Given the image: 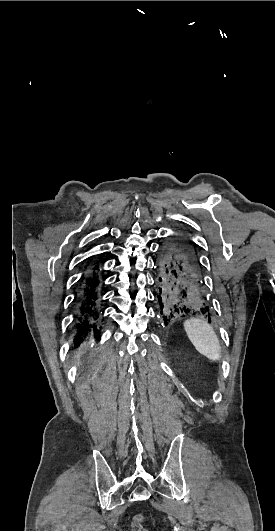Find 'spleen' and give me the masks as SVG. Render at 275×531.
Masks as SVG:
<instances>
[{"instance_id":"obj_1","label":"spleen","mask_w":275,"mask_h":531,"mask_svg":"<svg viewBox=\"0 0 275 531\" xmlns=\"http://www.w3.org/2000/svg\"><path fill=\"white\" fill-rule=\"evenodd\" d=\"M186 335H188L192 345L197 349L198 353L205 355L211 361H218L221 357V347L214 333L213 327L209 325L208 321H201V319H188L183 323Z\"/></svg>"}]
</instances>
